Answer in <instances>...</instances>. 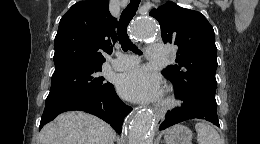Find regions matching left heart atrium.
<instances>
[{"label":"left heart atrium","instance_id":"1","mask_svg":"<svg viewBox=\"0 0 260 144\" xmlns=\"http://www.w3.org/2000/svg\"><path fill=\"white\" fill-rule=\"evenodd\" d=\"M118 89L123 97L138 103L155 102L162 96L160 78L142 68L122 74Z\"/></svg>","mask_w":260,"mask_h":144}]
</instances>
